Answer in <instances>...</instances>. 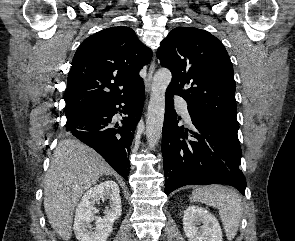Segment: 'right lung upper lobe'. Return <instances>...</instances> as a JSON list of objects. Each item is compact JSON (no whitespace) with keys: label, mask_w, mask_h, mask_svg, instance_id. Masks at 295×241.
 Here are the masks:
<instances>
[{"label":"right lung upper lobe","mask_w":295,"mask_h":241,"mask_svg":"<svg viewBox=\"0 0 295 241\" xmlns=\"http://www.w3.org/2000/svg\"><path fill=\"white\" fill-rule=\"evenodd\" d=\"M151 57V50L129 27L107 28L85 39L74 55L67 78L66 116L131 93L143 84L139 71Z\"/></svg>","instance_id":"cb5924a9"}]
</instances>
